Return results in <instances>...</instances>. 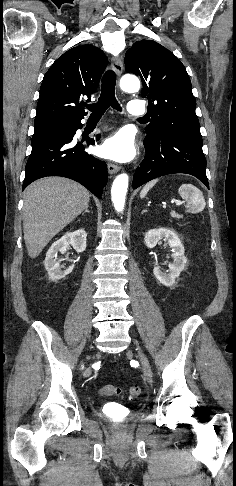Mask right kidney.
Wrapping results in <instances>:
<instances>
[{
	"mask_svg": "<svg viewBox=\"0 0 236 486\" xmlns=\"http://www.w3.org/2000/svg\"><path fill=\"white\" fill-rule=\"evenodd\" d=\"M86 237V232L83 229H79L71 233H66L52 244L46 253L44 261L45 268L48 271L49 279L51 281L56 282L65 278L74 269V265H71L64 270L61 269L60 260H57L58 252L64 254L69 245H72L78 253L84 252L86 249Z\"/></svg>",
	"mask_w": 236,
	"mask_h": 486,
	"instance_id": "ca27d5eb",
	"label": "right kidney"
}]
</instances>
